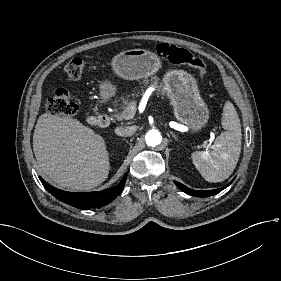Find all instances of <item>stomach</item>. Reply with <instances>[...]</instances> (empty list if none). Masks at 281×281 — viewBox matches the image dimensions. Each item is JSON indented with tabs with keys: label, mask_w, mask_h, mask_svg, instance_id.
Instances as JSON below:
<instances>
[{
	"label": "stomach",
	"mask_w": 281,
	"mask_h": 281,
	"mask_svg": "<svg viewBox=\"0 0 281 281\" xmlns=\"http://www.w3.org/2000/svg\"><path fill=\"white\" fill-rule=\"evenodd\" d=\"M111 65L115 74L126 80L146 78L161 68L160 58L146 49L123 51L113 57ZM163 83L175 117L192 133L201 130L209 119V110L199 94L196 79L184 70H171L164 75ZM99 88L100 103L116 94V87L108 80L101 82Z\"/></svg>",
	"instance_id": "0dacf381"
}]
</instances>
